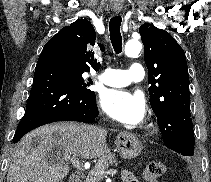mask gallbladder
Returning <instances> with one entry per match:
<instances>
[{"label":"gallbladder","instance_id":"obj_1","mask_svg":"<svg viewBox=\"0 0 211 182\" xmlns=\"http://www.w3.org/2000/svg\"><path fill=\"white\" fill-rule=\"evenodd\" d=\"M60 155V151L58 148H55L53 151H51L48 155L49 160H54L56 157Z\"/></svg>","mask_w":211,"mask_h":182}]
</instances>
